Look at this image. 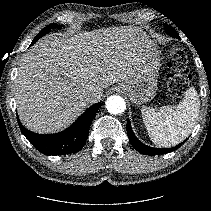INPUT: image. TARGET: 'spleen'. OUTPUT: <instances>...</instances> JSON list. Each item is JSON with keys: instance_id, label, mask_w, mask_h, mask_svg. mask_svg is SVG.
<instances>
[{"instance_id": "1", "label": "spleen", "mask_w": 211, "mask_h": 211, "mask_svg": "<svg viewBox=\"0 0 211 211\" xmlns=\"http://www.w3.org/2000/svg\"><path fill=\"white\" fill-rule=\"evenodd\" d=\"M200 101L194 87L185 92L182 101L175 106L159 110L142 108V118L151 140L162 147L174 146L192 132L199 115Z\"/></svg>"}]
</instances>
